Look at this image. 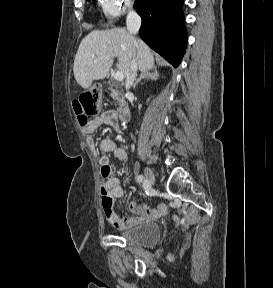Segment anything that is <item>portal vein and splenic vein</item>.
Returning a JSON list of instances; mask_svg holds the SVG:
<instances>
[{"label": "portal vein and splenic vein", "mask_w": 273, "mask_h": 288, "mask_svg": "<svg viewBox=\"0 0 273 288\" xmlns=\"http://www.w3.org/2000/svg\"><path fill=\"white\" fill-rule=\"evenodd\" d=\"M114 79L116 81H122L124 79V75L121 71H117L115 74H114Z\"/></svg>", "instance_id": "obj_1"}]
</instances>
